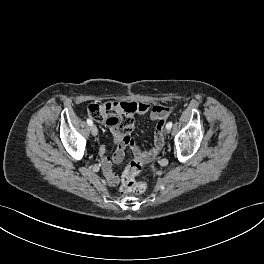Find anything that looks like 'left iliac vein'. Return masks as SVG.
Instances as JSON below:
<instances>
[{"mask_svg": "<svg viewBox=\"0 0 264 264\" xmlns=\"http://www.w3.org/2000/svg\"><path fill=\"white\" fill-rule=\"evenodd\" d=\"M166 132L169 133V132H170V129H167V128H166Z\"/></svg>", "mask_w": 264, "mask_h": 264, "instance_id": "4c4485c4", "label": "left iliac vein"}]
</instances>
